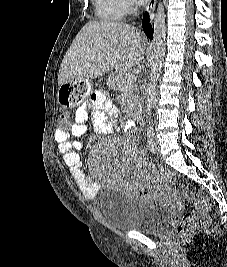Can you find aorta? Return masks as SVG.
<instances>
[{
	"label": "aorta",
	"instance_id": "762f6f07",
	"mask_svg": "<svg viewBox=\"0 0 227 267\" xmlns=\"http://www.w3.org/2000/svg\"><path fill=\"white\" fill-rule=\"evenodd\" d=\"M165 8L162 2L158 3L153 32V54L152 68L150 73V82L147 91L146 119L149 121L154 102L156 101L157 82L160 77V72L163 66L165 56V39H166V24H165Z\"/></svg>",
	"mask_w": 227,
	"mask_h": 267
}]
</instances>
